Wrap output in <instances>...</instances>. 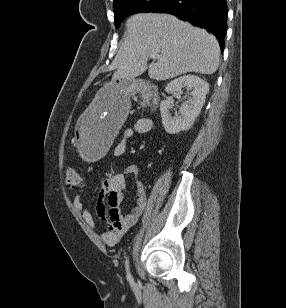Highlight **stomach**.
<instances>
[{
    "mask_svg": "<svg viewBox=\"0 0 286 308\" xmlns=\"http://www.w3.org/2000/svg\"><path fill=\"white\" fill-rule=\"evenodd\" d=\"M132 80L114 81L97 89L90 98V109H83L75 122L74 149H79L80 160L95 163L105 156V149H111L112 137L123 124V117L130 109Z\"/></svg>",
    "mask_w": 286,
    "mask_h": 308,
    "instance_id": "stomach-1",
    "label": "stomach"
}]
</instances>
